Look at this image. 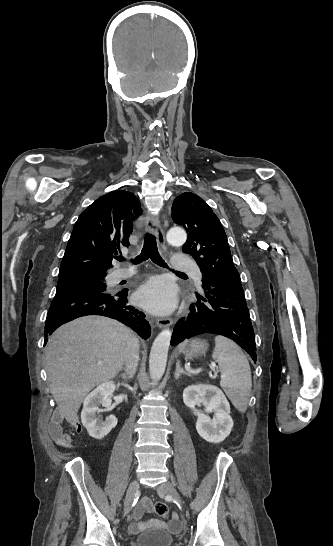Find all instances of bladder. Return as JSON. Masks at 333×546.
<instances>
[{"instance_id": "1", "label": "bladder", "mask_w": 333, "mask_h": 546, "mask_svg": "<svg viewBox=\"0 0 333 546\" xmlns=\"http://www.w3.org/2000/svg\"><path fill=\"white\" fill-rule=\"evenodd\" d=\"M173 537L164 530H150L139 535L135 540V546H171Z\"/></svg>"}]
</instances>
